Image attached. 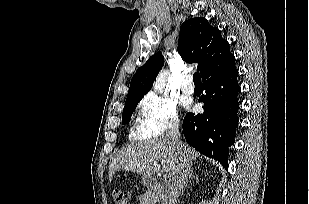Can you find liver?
<instances>
[{"label":"liver","instance_id":"obj_1","mask_svg":"<svg viewBox=\"0 0 309 204\" xmlns=\"http://www.w3.org/2000/svg\"><path fill=\"white\" fill-rule=\"evenodd\" d=\"M183 147L189 162L199 156V153L188 145L183 144ZM159 160H161V165L158 163ZM177 163L176 151L166 138L130 143L122 148L113 159L109 169V181L119 170L151 177L162 169L172 176Z\"/></svg>","mask_w":309,"mask_h":204}]
</instances>
